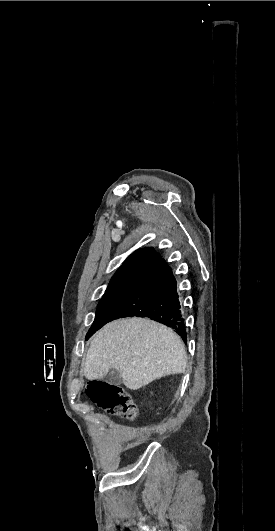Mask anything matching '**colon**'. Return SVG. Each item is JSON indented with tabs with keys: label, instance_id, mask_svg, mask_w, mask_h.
Masks as SVG:
<instances>
[{
	"label": "colon",
	"instance_id": "obj_1",
	"mask_svg": "<svg viewBox=\"0 0 275 531\" xmlns=\"http://www.w3.org/2000/svg\"><path fill=\"white\" fill-rule=\"evenodd\" d=\"M88 397L102 410L133 420L138 412L131 396L114 382L105 380L91 381L86 388Z\"/></svg>",
	"mask_w": 275,
	"mask_h": 531
}]
</instances>
